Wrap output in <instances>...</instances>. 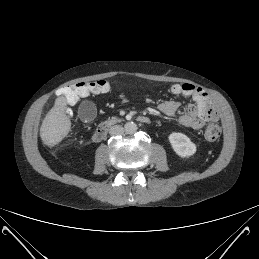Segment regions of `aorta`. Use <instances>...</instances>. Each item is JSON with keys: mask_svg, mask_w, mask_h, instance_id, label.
Instances as JSON below:
<instances>
[{"mask_svg": "<svg viewBox=\"0 0 259 259\" xmlns=\"http://www.w3.org/2000/svg\"><path fill=\"white\" fill-rule=\"evenodd\" d=\"M124 129L127 134H134L136 133L138 127L134 122H127L124 126Z\"/></svg>", "mask_w": 259, "mask_h": 259, "instance_id": "762f6f07", "label": "aorta"}]
</instances>
